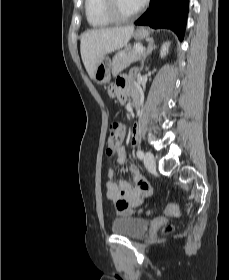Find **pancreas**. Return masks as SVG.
Instances as JSON below:
<instances>
[{
    "label": "pancreas",
    "instance_id": "1",
    "mask_svg": "<svg viewBox=\"0 0 229 280\" xmlns=\"http://www.w3.org/2000/svg\"><path fill=\"white\" fill-rule=\"evenodd\" d=\"M139 46H134L133 48H127L119 53H117L112 62V73L113 75L118 74L123 69L127 68L131 63L136 62L141 59L142 53L136 52V48Z\"/></svg>",
    "mask_w": 229,
    "mask_h": 280
}]
</instances>
